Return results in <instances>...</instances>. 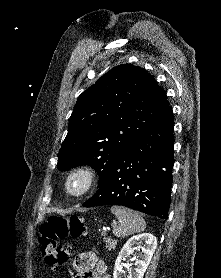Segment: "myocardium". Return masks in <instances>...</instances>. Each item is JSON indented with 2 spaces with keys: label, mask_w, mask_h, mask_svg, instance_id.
Instances as JSON below:
<instances>
[{
  "label": "myocardium",
  "mask_w": 221,
  "mask_h": 278,
  "mask_svg": "<svg viewBox=\"0 0 221 278\" xmlns=\"http://www.w3.org/2000/svg\"><path fill=\"white\" fill-rule=\"evenodd\" d=\"M97 179L98 172L94 166L79 164L68 172L64 183L65 192L72 198H81L92 190ZM75 182L77 187L73 188Z\"/></svg>",
  "instance_id": "1"
}]
</instances>
